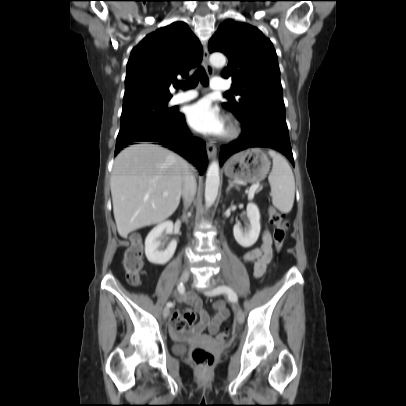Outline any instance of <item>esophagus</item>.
I'll use <instances>...</instances> for the list:
<instances>
[{
	"label": "esophagus",
	"mask_w": 406,
	"mask_h": 406,
	"mask_svg": "<svg viewBox=\"0 0 406 406\" xmlns=\"http://www.w3.org/2000/svg\"><path fill=\"white\" fill-rule=\"evenodd\" d=\"M203 65H204L208 75H210V76L213 75L214 70H213V67L209 63V52H208V48L206 45L204 47V52H203ZM206 150H207V156L210 159L215 157L217 154V148L212 143H207Z\"/></svg>",
	"instance_id": "1"
}]
</instances>
